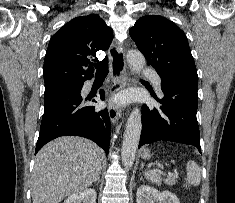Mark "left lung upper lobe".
Returning a JSON list of instances; mask_svg holds the SVG:
<instances>
[{
	"instance_id": "1",
	"label": "left lung upper lobe",
	"mask_w": 235,
	"mask_h": 203,
	"mask_svg": "<svg viewBox=\"0 0 235 203\" xmlns=\"http://www.w3.org/2000/svg\"><path fill=\"white\" fill-rule=\"evenodd\" d=\"M129 34L162 80L197 87L198 75L184 32L159 15L138 19Z\"/></svg>"
}]
</instances>
